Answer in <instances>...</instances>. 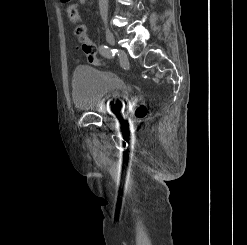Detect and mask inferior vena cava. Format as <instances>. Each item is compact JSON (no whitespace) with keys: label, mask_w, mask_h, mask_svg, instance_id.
<instances>
[{"label":"inferior vena cava","mask_w":247,"mask_h":245,"mask_svg":"<svg viewBox=\"0 0 247 245\" xmlns=\"http://www.w3.org/2000/svg\"><path fill=\"white\" fill-rule=\"evenodd\" d=\"M100 15L105 24H107L108 17V0H99Z\"/></svg>","instance_id":"obj_1"}]
</instances>
